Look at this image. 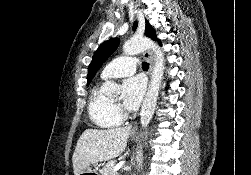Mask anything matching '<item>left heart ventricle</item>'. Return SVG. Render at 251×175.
<instances>
[{
	"label": "left heart ventricle",
	"instance_id": "obj_1",
	"mask_svg": "<svg viewBox=\"0 0 251 175\" xmlns=\"http://www.w3.org/2000/svg\"><path fill=\"white\" fill-rule=\"evenodd\" d=\"M118 101H113L112 103L116 104Z\"/></svg>",
	"mask_w": 251,
	"mask_h": 175
}]
</instances>
